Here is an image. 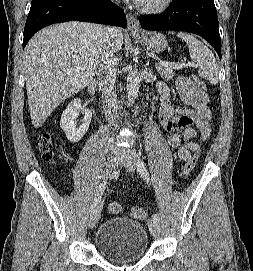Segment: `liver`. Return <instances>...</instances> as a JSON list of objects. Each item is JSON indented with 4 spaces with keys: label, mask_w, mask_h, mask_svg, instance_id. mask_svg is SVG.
Returning <instances> with one entry per match:
<instances>
[{
    "label": "liver",
    "mask_w": 253,
    "mask_h": 271,
    "mask_svg": "<svg viewBox=\"0 0 253 271\" xmlns=\"http://www.w3.org/2000/svg\"><path fill=\"white\" fill-rule=\"evenodd\" d=\"M113 51L123 45L114 28ZM102 50L101 26L70 21L36 33L24 50V73L30 117L41 127L55 108L93 80Z\"/></svg>",
    "instance_id": "obj_1"
}]
</instances>
